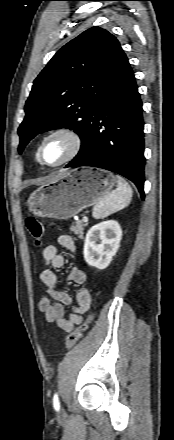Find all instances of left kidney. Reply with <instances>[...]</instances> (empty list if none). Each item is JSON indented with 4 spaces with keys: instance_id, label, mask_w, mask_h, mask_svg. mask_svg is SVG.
<instances>
[{
    "instance_id": "left-kidney-1",
    "label": "left kidney",
    "mask_w": 174,
    "mask_h": 440,
    "mask_svg": "<svg viewBox=\"0 0 174 440\" xmlns=\"http://www.w3.org/2000/svg\"><path fill=\"white\" fill-rule=\"evenodd\" d=\"M122 237V229L115 220H108L91 227L84 243L86 263L100 270L111 263Z\"/></svg>"
}]
</instances>
